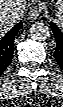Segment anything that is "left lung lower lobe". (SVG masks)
<instances>
[{
    "instance_id": "1",
    "label": "left lung lower lobe",
    "mask_w": 63,
    "mask_h": 107,
    "mask_svg": "<svg viewBox=\"0 0 63 107\" xmlns=\"http://www.w3.org/2000/svg\"><path fill=\"white\" fill-rule=\"evenodd\" d=\"M50 25L56 39L54 58L63 70V32L53 22Z\"/></svg>"
}]
</instances>
